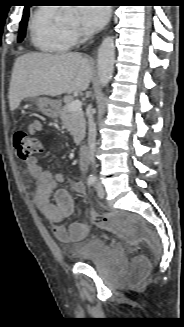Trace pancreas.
Here are the masks:
<instances>
[{"label": "pancreas", "mask_w": 184, "mask_h": 327, "mask_svg": "<svg viewBox=\"0 0 184 327\" xmlns=\"http://www.w3.org/2000/svg\"><path fill=\"white\" fill-rule=\"evenodd\" d=\"M71 101L72 98H70L66 105L62 107L59 114L62 124L73 136L75 144L79 145L85 136L86 121L84 113L81 110L76 112L69 111L68 104Z\"/></svg>", "instance_id": "pancreas-1"}]
</instances>
